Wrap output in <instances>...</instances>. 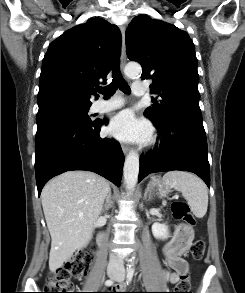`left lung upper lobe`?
<instances>
[{
  "label": "left lung upper lobe",
  "mask_w": 245,
  "mask_h": 293,
  "mask_svg": "<svg viewBox=\"0 0 245 293\" xmlns=\"http://www.w3.org/2000/svg\"><path fill=\"white\" fill-rule=\"evenodd\" d=\"M126 48L129 59L141 64V78L152 79L151 92L161 98L144 112L152 122L174 113L202 119L195 47L185 31L139 15L126 30Z\"/></svg>",
  "instance_id": "1"
}]
</instances>
